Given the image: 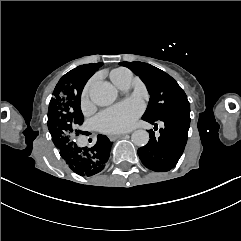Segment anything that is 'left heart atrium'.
<instances>
[{"label": "left heart atrium", "mask_w": 241, "mask_h": 241, "mask_svg": "<svg viewBox=\"0 0 241 241\" xmlns=\"http://www.w3.org/2000/svg\"><path fill=\"white\" fill-rule=\"evenodd\" d=\"M141 108L128 105H118L98 113L94 121L99 130L105 133H123L135 126L136 118Z\"/></svg>", "instance_id": "left-heart-atrium-1"}]
</instances>
